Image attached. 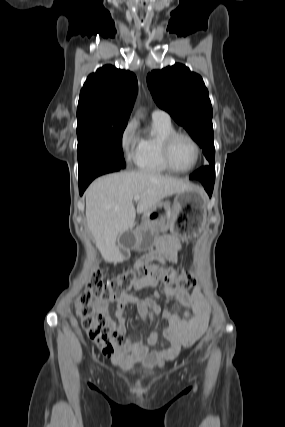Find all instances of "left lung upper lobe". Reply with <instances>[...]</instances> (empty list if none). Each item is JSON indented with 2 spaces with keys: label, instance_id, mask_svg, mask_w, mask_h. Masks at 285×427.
<instances>
[{
  "label": "left lung upper lobe",
  "instance_id": "5c2ea615",
  "mask_svg": "<svg viewBox=\"0 0 285 427\" xmlns=\"http://www.w3.org/2000/svg\"><path fill=\"white\" fill-rule=\"evenodd\" d=\"M147 84L156 104L189 132L208 162H214L213 111L201 76L177 63L149 73Z\"/></svg>",
  "mask_w": 285,
  "mask_h": 427
}]
</instances>
